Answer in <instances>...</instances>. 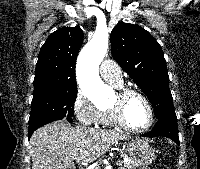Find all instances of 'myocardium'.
Instances as JSON below:
<instances>
[{
	"instance_id": "myocardium-1",
	"label": "myocardium",
	"mask_w": 200,
	"mask_h": 169,
	"mask_svg": "<svg viewBox=\"0 0 200 169\" xmlns=\"http://www.w3.org/2000/svg\"><path fill=\"white\" fill-rule=\"evenodd\" d=\"M131 95L139 96L147 105V108L149 111V121L144 127L133 128L126 121L125 112H124V104H125V100ZM110 108L113 112V115L117 124L130 132H134V133L145 132L153 125L155 116H154V109H153L152 103L149 100V98L142 91L138 89L131 88V87L118 88L116 92V100L114 103L111 104Z\"/></svg>"
}]
</instances>
